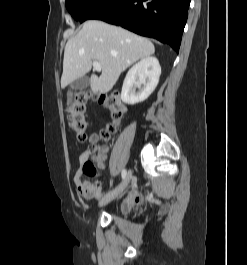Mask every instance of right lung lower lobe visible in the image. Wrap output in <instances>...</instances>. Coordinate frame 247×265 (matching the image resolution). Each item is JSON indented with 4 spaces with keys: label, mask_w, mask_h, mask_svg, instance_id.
<instances>
[{
    "label": "right lung lower lobe",
    "mask_w": 247,
    "mask_h": 265,
    "mask_svg": "<svg viewBox=\"0 0 247 265\" xmlns=\"http://www.w3.org/2000/svg\"><path fill=\"white\" fill-rule=\"evenodd\" d=\"M191 0H99L79 20L98 19L168 43L177 53Z\"/></svg>",
    "instance_id": "98d812e1"
}]
</instances>
